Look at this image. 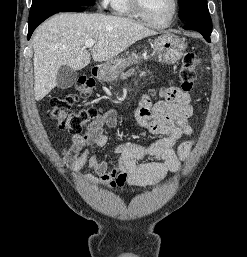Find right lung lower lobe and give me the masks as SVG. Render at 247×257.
Wrapping results in <instances>:
<instances>
[{"mask_svg": "<svg viewBox=\"0 0 247 257\" xmlns=\"http://www.w3.org/2000/svg\"><path fill=\"white\" fill-rule=\"evenodd\" d=\"M84 10L85 8L82 6L52 7V8H48L43 11H40L37 14H34L32 16H29L28 40L30 39L34 29L51 15L58 12H81Z\"/></svg>", "mask_w": 247, "mask_h": 257, "instance_id": "1", "label": "right lung lower lobe"}]
</instances>
